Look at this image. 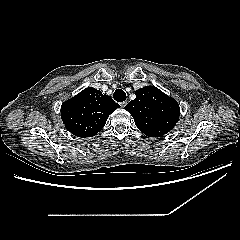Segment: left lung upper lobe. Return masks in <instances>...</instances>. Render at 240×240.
<instances>
[{"label":"left lung upper lobe","mask_w":240,"mask_h":240,"mask_svg":"<svg viewBox=\"0 0 240 240\" xmlns=\"http://www.w3.org/2000/svg\"><path fill=\"white\" fill-rule=\"evenodd\" d=\"M135 94L136 98L125 109L142 133L149 137H161L173 129L180 114L176 100L154 86L140 88Z\"/></svg>","instance_id":"obj_1"}]
</instances>
